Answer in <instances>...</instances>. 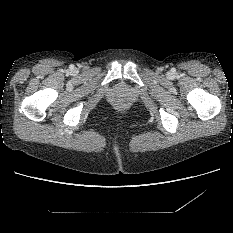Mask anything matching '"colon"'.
Instances as JSON below:
<instances>
[{"instance_id": "1", "label": "colon", "mask_w": 233, "mask_h": 233, "mask_svg": "<svg viewBox=\"0 0 233 233\" xmlns=\"http://www.w3.org/2000/svg\"><path fill=\"white\" fill-rule=\"evenodd\" d=\"M117 106H118L119 108H122V103H118Z\"/></svg>"}]
</instances>
